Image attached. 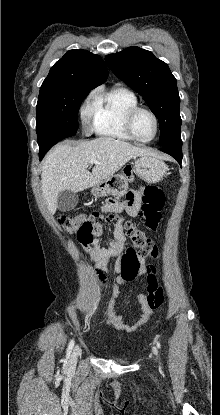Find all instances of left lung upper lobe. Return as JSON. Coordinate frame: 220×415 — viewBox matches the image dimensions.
<instances>
[{
    "label": "left lung upper lobe",
    "instance_id": "5c2ea615",
    "mask_svg": "<svg viewBox=\"0 0 220 415\" xmlns=\"http://www.w3.org/2000/svg\"><path fill=\"white\" fill-rule=\"evenodd\" d=\"M105 61L118 78L140 93L156 115L160 146L182 147L180 97L168 65L152 52L134 46L107 55Z\"/></svg>",
    "mask_w": 220,
    "mask_h": 415
}]
</instances>
